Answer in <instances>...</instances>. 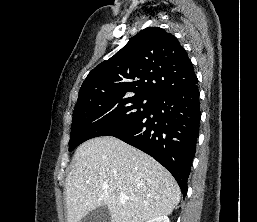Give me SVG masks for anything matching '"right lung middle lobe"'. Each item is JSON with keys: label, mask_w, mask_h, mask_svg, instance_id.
I'll list each match as a JSON object with an SVG mask.
<instances>
[{"label": "right lung middle lobe", "mask_w": 257, "mask_h": 222, "mask_svg": "<svg viewBox=\"0 0 257 222\" xmlns=\"http://www.w3.org/2000/svg\"><path fill=\"white\" fill-rule=\"evenodd\" d=\"M155 98L93 97L76 104L73 113L69 151L84 141L98 136H112L137 123L154 106Z\"/></svg>", "instance_id": "obj_1"}]
</instances>
